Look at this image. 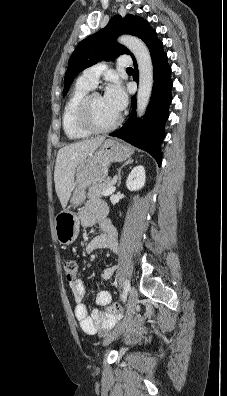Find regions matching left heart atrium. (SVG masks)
Wrapping results in <instances>:
<instances>
[{
	"instance_id": "1",
	"label": "left heart atrium",
	"mask_w": 227,
	"mask_h": 396,
	"mask_svg": "<svg viewBox=\"0 0 227 396\" xmlns=\"http://www.w3.org/2000/svg\"><path fill=\"white\" fill-rule=\"evenodd\" d=\"M103 99L109 106V108L118 115L126 107L127 104L126 92L121 83L117 80H113L108 85Z\"/></svg>"
}]
</instances>
